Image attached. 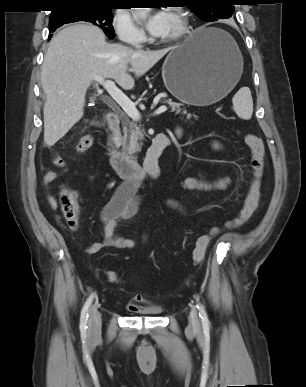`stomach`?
Returning a JSON list of instances; mask_svg holds the SVG:
<instances>
[{
  "label": "stomach",
  "mask_w": 306,
  "mask_h": 387,
  "mask_svg": "<svg viewBox=\"0 0 306 387\" xmlns=\"http://www.w3.org/2000/svg\"><path fill=\"white\" fill-rule=\"evenodd\" d=\"M243 57L235 40L215 27H200L174 47L162 66L168 91L183 103L207 106L238 83Z\"/></svg>",
  "instance_id": "obj_1"
}]
</instances>
